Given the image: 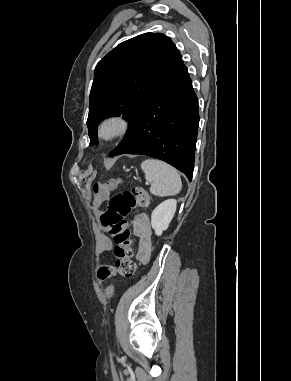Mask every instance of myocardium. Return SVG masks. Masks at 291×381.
Wrapping results in <instances>:
<instances>
[{
  "mask_svg": "<svg viewBox=\"0 0 291 381\" xmlns=\"http://www.w3.org/2000/svg\"><path fill=\"white\" fill-rule=\"evenodd\" d=\"M130 120L122 114H111L104 117L98 124L97 137L100 141L109 143L124 137L130 130Z\"/></svg>",
  "mask_w": 291,
  "mask_h": 381,
  "instance_id": "myocardium-1",
  "label": "myocardium"
}]
</instances>
